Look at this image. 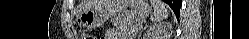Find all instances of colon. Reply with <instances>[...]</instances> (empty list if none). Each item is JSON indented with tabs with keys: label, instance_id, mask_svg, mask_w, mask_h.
I'll return each instance as SVG.
<instances>
[{
	"label": "colon",
	"instance_id": "5ec220e1",
	"mask_svg": "<svg viewBox=\"0 0 249 39\" xmlns=\"http://www.w3.org/2000/svg\"><path fill=\"white\" fill-rule=\"evenodd\" d=\"M81 39H93V37L90 34L82 31V33H81Z\"/></svg>",
	"mask_w": 249,
	"mask_h": 39
}]
</instances>
